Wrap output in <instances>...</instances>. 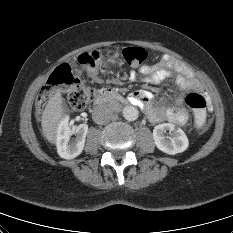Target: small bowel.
Here are the masks:
<instances>
[{"label":"small bowel","instance_id":"1","mask_svg":"<svg viewBox=\"0 0 233 233\" xmlns=\"http://www.w3.org/2000/svg\"><path fill=\"white\" fill-rule=\"evenodd\" d=\"M141 76L146 83H158L167 78H173L181 90H195L204 92L201 82L175 58L164 55L156 64L145 65L138 71L129 73L130 80L134 81ZM130 102L142 108L154 122H171L184 125L188 118V111L182 106L183 98L178 97L172 103L162 106L152 103V94L145 89H140L130 96Z\"/></svg>","mask_w":233,"mask_h":233}]
</instances>
